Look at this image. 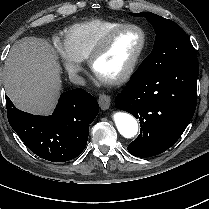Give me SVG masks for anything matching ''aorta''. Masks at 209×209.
I'll return each instance as SVG.
<instances>
[{"label":"aorta","instance_id":"1","mask_svg":"<svg viewBox=\"0 0 209 209\" xmlns=\"http://www.w3.org/2000/svg\"><path fill=\"white\" fill-rule=\"evenodd\" d=\"M113 120L119 133L125 138H132L138 132L137 120L130 114L125 112H115Z\"/></svg>","mask_w":209,"mask_h":209}]
</instances>
